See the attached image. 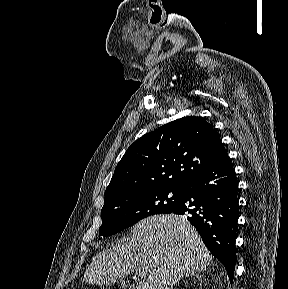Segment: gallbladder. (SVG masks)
<instances>
[{
  "mask_svg": "<svg viewBox=\"0 0 288 289\" xmlns=\"http://www.w3.org/2000/svg\"><path fill=\"white\" fill-rule=\"evenodd\" d=\"M120 282H121L122 284H124V281H123V280H120Z\"/></svg>",
  "mask_w": 288,
  "mask_h": 289,
  "instance_id": "gallbladder-1",
  "label": "gallbladder"
}]
</instances>
